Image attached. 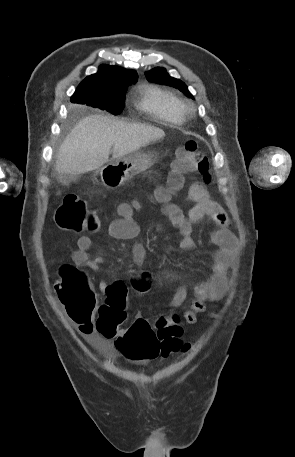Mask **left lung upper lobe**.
Masks as SVG:
<instances>
[{"mask_svg": "<svg viewBox=\"0 0 295 457\" xmlns=\"http://www.w3.org/2000/svg\"><path fill=\"white\" fill-rule=\"evenodd\" d=\"M145 75L148 80H155L160 83H164L165 85L178 88L184 94L192 96V94L188 91V88L185 85V83L179 79L170 77L164 68H154L148 72H145Z\"/></svg>", "mask_w": 295, "mask_h": 457, "instance_id": "obj_1", "label": "left lung upper lobe"}]
</instances>
